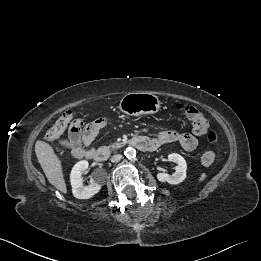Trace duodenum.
Instances as JSON below:
<instances>
[{
  "mask_svg": "<svg viewBox=\"0 0 261 261\" xmlns=\"http://www.w3.org/2000/svg\"><path fill=\"white\" fill-rule=\"evenodd\" d=\"M131 143L139 150L145 152L153 151L157 148L156 145L153 144L149 139L142 136L134 137L131 140ZM85 156L97 162H104L110 157V150L107 148H103L97 151H87L85 153Z\"/></svg>",
  "mask_w": 261,
  "mask_h": 261,
  "instance_id": "duodenum-1",
  "label": "duodenum"
}]
</instances>
